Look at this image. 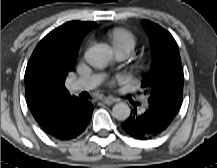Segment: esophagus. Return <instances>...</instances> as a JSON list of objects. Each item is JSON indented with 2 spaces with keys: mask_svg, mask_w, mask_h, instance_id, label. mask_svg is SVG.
Instances as JSON below:
<instances>
[{
  "mask_svg": "<svg viewBox=\"0 0 217 168\" xmlns=\"http://www.w3.org/2000/svg\"><path fill=\"white\" fill-rule=\"evenodd\" d=\"M101 100L106 104H112L114 102L113 97H110V96H105L101 98Z\"/></svg>",
  "mask_w": 217,
  "mask_h": 168,
  "instance_id": "34e87169",
  "label": "esophagus"
}]
</instances>
